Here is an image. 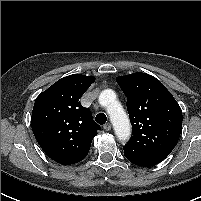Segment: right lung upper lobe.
<instances>
[{
    "instance_id": "right-lung-upper-lobe-1",
    "label": "right lung upper lobe",
    "mask_w": 201,
    "mask_h": 201,
    "mask_svg": "<svg viewBox=\"0 0 201 201\" xmlns=\"http://www.w3.org/2000/svg\"><path fill=\"white\" fill-rule=\"evenodd\" d=\"M94 81L92 76L69 75L35 100L31 117L33 133L43 151L60 164L80 162L100 129L90 110L79 101Z\"/></svg>"
}]
</instances>
